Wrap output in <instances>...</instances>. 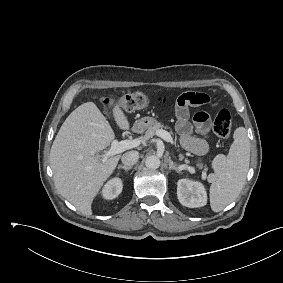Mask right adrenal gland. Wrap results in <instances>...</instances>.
<instances>
[{
	"instance_id": "1",
	"label": "right adrenal gland",
	"mask_w": 283,
	"mask_h": 283,
	"mask_svg": "<svg viewBox=\"0 0 283 283\" xmlns=\"http://www.w3.org/2000/svg\"><path fill=\"white\" fill-rule=\"evenodd\" d=\"M118 169H124L125 171H129V170L132 169V167L131 166H125V165H119Z\"/></svg>"
}]
</instances>
